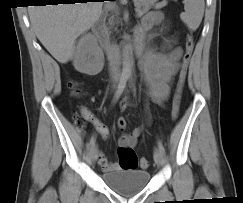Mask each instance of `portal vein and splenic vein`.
Listing matches in <instances>:
<instances>
[{
	"mask_svg": "<svg viewBox=\"0 0 243 203\" xmlns=\"http://www.w3.org/2000/svg\"><path fill=\"white\" fill-rule=\"evenodd\" d=\"M137 12V16L138 17H141L143 14L141 13V12H139V11H136Z\"/></svg>",
	"mask_w": 243,
	"mask_h": 203,
	"instance_id": "portal-vein-and-splenic-vein-1",
	"label": "portal vein and splenic vein"
}]
</instances>
